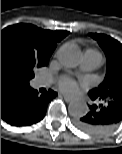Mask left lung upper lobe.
Here are the masks:
<instances>
[{"label": "left lung upper lobe", "mask_w": 122, "mask_h": 154, "mask_svg": "<svg viewBox=\"0 0 122 154\" xmlns=\"http://www.w3.org/2000/svg\"><path fill=\"white\" fill-rule=\"evenodd\" d=\"M89 35L97 40L107 58V72L103 82L89 93L111 97L114 91H122V44L104 34Z\"/></svg>", "instance_id": "1"}]
</instances>
